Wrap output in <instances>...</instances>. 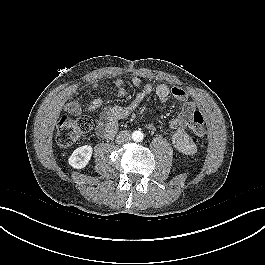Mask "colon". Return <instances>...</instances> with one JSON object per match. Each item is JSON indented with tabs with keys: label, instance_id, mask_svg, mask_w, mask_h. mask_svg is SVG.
I'll use <instances>...</instances> for the list:
<instances>
[{
	"label": "colon",
	"instance_id": "colon-1",
	"mask_svg": "<svg viewBox=\"0 0 265 265\" xmlns=\"http://www.w3.org/2000/svg\"><path fill=\"white\" fill-rule=\"evenodd\" d=\"M93 121L88 116L72 118L62 116L57 122L56 141L60 146H69L76 142L83 134L91 130ZM190 129L197 137L206 134V121L200 111H195L190 120Z\"/></svg>",
	"mask_w": 265,
	"mask_h": 265
}]
</instances>
